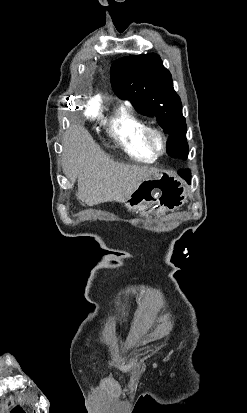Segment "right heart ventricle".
I'll return each mask as SVG.
<instances>
[{
  "mask_svg": "<svg viewBox=\"0 0 247 413\" xmlns=\"http://www.w3.org/2000/svg\"><path fill=\"white\" fill-rule=\"evenodd\" d=\"M143 127L144 125L135 117L122 114L110 126V134L133 160L152 163L157 159V156L149 153L140 141Z\"/></svg>",
  "mask_w": 247,
  "mask_h": 413,
  "instance_id": "obj_1",
  "label": "right heart ventricle"
}]
</instances>
